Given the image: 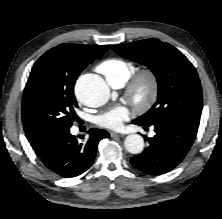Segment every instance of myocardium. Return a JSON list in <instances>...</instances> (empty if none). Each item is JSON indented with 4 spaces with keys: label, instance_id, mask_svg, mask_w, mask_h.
Masks as SVG:
<instances>
[{
    "label": "myocardium",
    "instance_id": "myocardium-1",
    "mask_svg": "<svg viewBox=\"0 0 222 219\" xmlns=\"http://www.w3.org/2000/svg\"><path fill=\"white\" fill-rule=\"evenodd\" d=\"M159 92V79L151 69H143L128 80L125 96L138 109L146 111L155 103Z\"/></svg>",
    "mask_w": 222,
    "mask_h": 219
}]
</instances>
